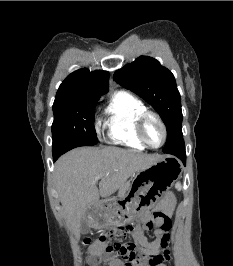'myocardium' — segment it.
Instances as JSON below:
<instances>
[{
	"mask_svg": "<svg viewBox=\"0 0 233 266\" xmlns=\"http://www.w3.org/2000/svg\"><path fill=\"white\" fill-rule=\"evenodd\" d=\"M149 118H154L155 120H157V122L160 124L161 128H162V131H163V138H162V141L159 145L157 146H153L151 145L146 136H145V124L147 122V120ZM136 133H137V136L138 138L140 139V141L146 146V147H149V148H152V149H158L160 147H162L166 140H167V128H166V125L163 121V119L160 117L159 114H157L156 112H153V111H149V110H146L145 112H143L138 120H137V123H136Z\"/></svg>",
	"mask_w": 233,
	"mask_h": 266,
	"instance_id": "f54148a6",
	"label": "myocardium"
}]
</instances>
